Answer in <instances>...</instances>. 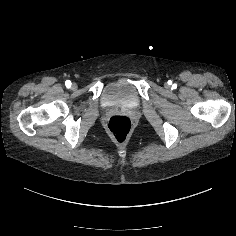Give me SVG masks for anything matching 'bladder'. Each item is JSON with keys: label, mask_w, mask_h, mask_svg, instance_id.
<instances>
[{"label": "bladder", "mask_w": 236, "mask_h": 236, "mask_svg": "<svg viewBox=\"0 0 236 236\" xmlns=\"http://www.w3.org/2000/svg\"><path fill=\"white\" fill-rule=\"evenodd\" d=\"M104 100L109 106H120L133 109L140 103L141 97L129 86L111 84L105 89Z\"/></svg>", "instance_id": "31cf9c89"}]
</instances>
